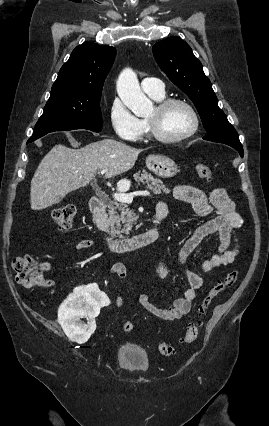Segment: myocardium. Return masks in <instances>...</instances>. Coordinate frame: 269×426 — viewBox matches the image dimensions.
Listing matches in <instances>:
<instances>
[{
	"instance_id": "1",
	"label": "myocardium",
	"mask_w": 269,
	"mask_h": 426,
	"mask_svg": "<svg viewBox=\"0 0 269 426\" xmlns=\"http://www.w3.org/2000/svg\"><path fill=\"white\" fill-rule=\"evenodd\" d=\"M174 105H182L190 111V113L192 114V117H193L192 128L189 131H187L186 133L179 135V136H167L161 131L160 126H159V124L156 120L147 118L146 119V125H147V128H148L149 136L152 139H154L158 142H162V143H178V142H182V141L192 137L199 130V127H200L199 114H198L197 110L194 108V106L184 99H180V98L163 99L161 101H158V103L155 106V110H156L158 116H161L170 107H172Z\"/></svg>"
}]
</instances>
